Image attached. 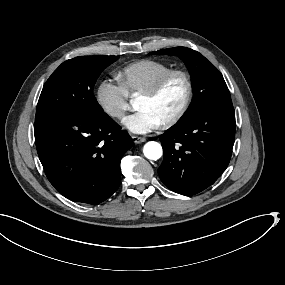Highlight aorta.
I'll use <instances>...</instances> for the list:
<instances>
[{"mask_svg": "<svg viewBox=\"0 0 285 285\" xmlns=\"http://www.w3.org/2000/svg\"><path fill=\"white\" fill-rule=\"evenodd\" d=\"M143 153L144 156L150 161L158 160L163 154L162 146L155 141L148 142L144 146Z\"/></svg>", "mask_w": 285, "mask_h": 285, "instance_id": "aorta-1", "label": "aorta"}]
</instances>
